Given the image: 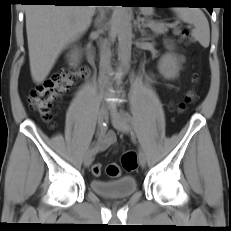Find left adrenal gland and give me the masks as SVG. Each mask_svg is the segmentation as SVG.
Returning <instances> with one entry per match:
<instances>
[{
  "label": "left adrenal gland",
  "instance_id": "left-adrenal-gland-1",
  "mask_svg": "<svg viewBox=\"0 0 231 231\" xmlns=\"http://www.w3.org/2000/svg\"><path fill=\"white\" fill-rule=\"evenodd\" d=\"M138 30L140 31L142 37H147L148 36V34L145 31V29L141 27V24H140L139 21H138Z\"/></svg>",
  "mask_w": 231,
  "mask_h": 231
}]
</instances>
